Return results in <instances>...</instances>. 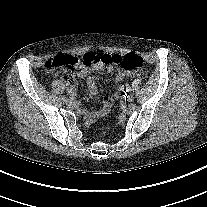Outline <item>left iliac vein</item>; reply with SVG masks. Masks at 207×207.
I'll return each instance as SVG.
<instances>
[{"label":"left iliac vein","mask_w":207,"mask_h":207,"mask_svg":"<svg viewBox=\"0 0 207 207\" xmlns=\"http://www.w3.org/2000/svg\"><path fill=\"white\" fill-rule=\"evenodd\" d=\"M126 100H127L128 102H131V101L133 100V96H132V97L127 96V97H126Z\"/></svg>","instance_id":"obj_1"}]
</instances>
